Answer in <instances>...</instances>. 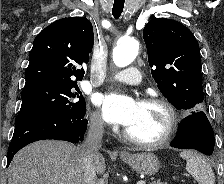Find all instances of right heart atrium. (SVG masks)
I'll return each instance as SVG.
<instances>
[{
	"label": "right heart atrium",
	"mask_w": 224,
	"mask_h": 184,
	"mask_svg": "<svg viewBox=\"0 0 224 184\" xmlns=\"http://www.w3.org/2000/svg\"><path fill=\"white\" fill-rule=\"evenodd\" d=\"M89 122H90V125L96 130H101L104 126V122L101 116L97 112H93L91 114Z\"/></svg>",
	"instance_id": "1"
}]
</instances>
